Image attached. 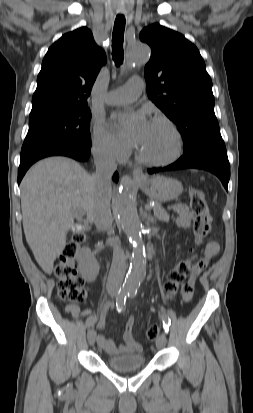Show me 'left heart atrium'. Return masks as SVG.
Here are the masks:
<instances>
[{"label":"left heart atrium","mask_w":253,"mask_h":413,"mask_svg":"<svg viewBox=\"0 0 253 413\" xmlns=\"http://www.w3.org/2000/svg\"><path fill=\"white\" fill-rule=\"evenodd\" d=\"M149 124L142 114H137L133 116L130 128L126 129L120 126V130L130 142L139 146L148 130Z\"/></svg>","instance_id":"39dd6f15"}]
</instances>
